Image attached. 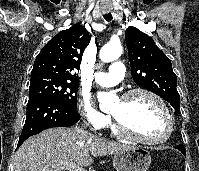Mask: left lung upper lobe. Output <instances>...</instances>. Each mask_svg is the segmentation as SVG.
<instances>
[{"mask_svg": "<svg viewBox=\"0 0 199 171\" xmlns=\"http://www.w3.org/2000/svg\"><path fill=\"white\" fill-rule=\"evenodd\" d=\"M125 38L135 83L169 102L175 109V114H178L180 96L171 60L155 45L151 37L135 27L126 29Z\"/></svg>", "mask_w": 199, "mask_h": 171, "instance_id": "5c2ea615", "label": "left lung upper lobe"}]
</instances>
